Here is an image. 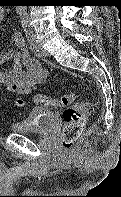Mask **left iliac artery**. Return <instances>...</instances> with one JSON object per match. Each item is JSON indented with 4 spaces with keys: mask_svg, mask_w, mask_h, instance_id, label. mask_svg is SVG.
<instances>
[{
    "mask_svg": "<svg viewBox=\"0 0 121 197\" xmlns=\"http://www.w3.org/2000/svg\"><path fill=\"white\" fill-rule=\"evenodd\" d=\"M22 26H23V29H24V32H25V35H26V38H27V41L30 45L31 48H34V45H35V36L33 34V31L29 25V23L27 21H22Z\"/></svg>",
    "mask_w": 121,
    "mask_h": 197,
    "instance_id": "1",
    "label": "left iliac artery"
}]
</instances>
